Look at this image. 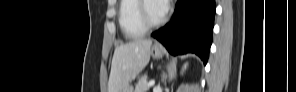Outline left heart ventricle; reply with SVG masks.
Instances as JSON below:
<instances>
[{"label":"left heart ventricle","mask_w":296,"mask_h":92,"mask_svg":"<svg viewBox=\"0 0 296 92\" xmlns=\"http://www.w3.org/2000/svg\"><path fill=\"white\" fill-rule=\"evenodd\" d=\"M147 13L149 16V19L151 21H158L162 18V16L159 14L156 3L154 1H150L147 5Z\"/></svg>","instance_id":"obj_1"}]
</instances>
